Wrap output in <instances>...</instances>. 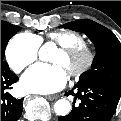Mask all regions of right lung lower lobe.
Listing matches in <instances>:
<instances>
[{
    "mask_svg": "<svg viewBox=\"0 0 121 121\" xmlns=\"http://www.w3.org/2000/svg\"><path fill=\"white\" fill-rule=\"evenodd\" d=\"M18 79L8 65H1V121H16L21 116L23 99H16L6 92Z\"/></svg>",
    "mask_w": 121,
    "mask_h": 121,
    "instance_id": "right-lung-lower-lobe-1",
    "label": "right lung lower lobe"
}]
</instances>
